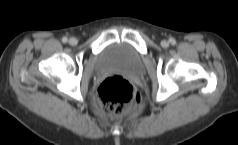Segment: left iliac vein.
<instances>
[{
	"label": "left iliac vein",
	"instance_id": "1",
	"mask_svg": "<svg viewBox=\"0 0 238 145\" xmlns=\"http://www.w3.org/2000/svg\"><path fill=\"white\" fill-rule=\"evenodd\" d=\"M161 45L162 47L167 48L169 46V42L167 40H162Z\"/></svg>",
	"mask_w": 238,
	"mask_h": 145
}]
</instances>
